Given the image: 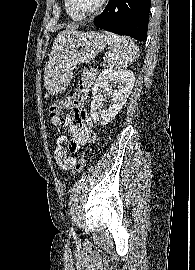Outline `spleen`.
<instances>
[{"mask_svg":"<svg viewBox=\"0 0 195 270\" xmlns=\"http://www.w3.org/2000/svg\"><path fill=\"white\" fill-rule=\"evenodd\" d=\"M103 36L112 52L109 64L111 68L118 70L126 68L139 57V48L131 38L109 31H104Z\"/></svg>","mask_w":195,"mask_h":270,"instance_id":"3e777b00","label":"spleen"}]
</instances>
